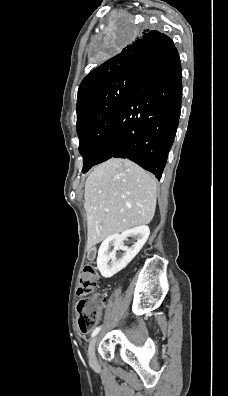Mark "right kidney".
<instances>
[{"label": "right kidney", "mask_w": 228, "mask_h": 396, "mask_svg": "<svg viewBox=\"0 0 228 396\" xmlns=\"http://www.w3.org/2000/svg\"><path fill=\"white\" fill-rule=\"evenodd\" d=\"M149 234V227L141 225L126 230L121 234L108 236L101 243L98 250L97 268L101 275L104 278H110L124 269L142 249L149 237ZM128 237H133L136 240L131 247L124 246L123 243ZM110 246L114 247L111 252H109ZM117 250H122L124 252L120 258L116 257Z\"/></svg>", "instance_id": "obj_1"}]
</instances>
